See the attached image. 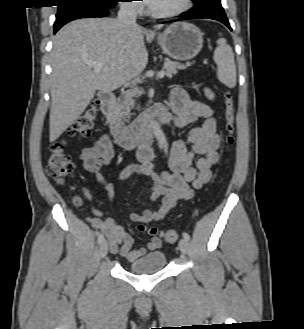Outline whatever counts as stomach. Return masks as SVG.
Listing matches in <instances>:
<instances>
[{"mask_svg": "<svg viewBox=\"0 0 304 329\" xmlns=\"http://www.w3.org/2000/svg\"><path fill=\"white\" fill-rule=\"evenodd\" d=\"M158 42L169 57L186 61L194 58L202 49L203 33L191 23L176 22L158 36Z\"/></svg>", "mask_w": 304, "mask_h": 329, "instance_id": "stomach-1", "label": "stomach"}]
</instances>
